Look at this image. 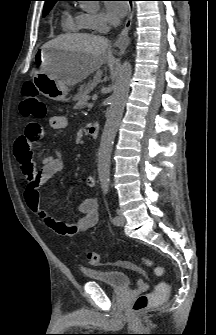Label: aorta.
<instances>
[{
  "mask_svg": "<svg viewBox=\"0 0 216 335\" xmlns=\"http://www.w3.org/2000/svg\"><path fill=\"white\" fill-rule=\"evenodd\" d=\"M131 75L132 66L128 61H125L118 71L113 85V93L110 96V107L98 151V176L103 187L110 183V159L113 141L128 97Z\"/></svg>",
  "mask_w": 216,
  "mask_h": 335,
  "instance_id": "1",
  "label": "aorta"
}]
</instances>
